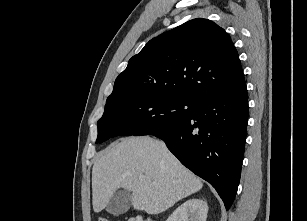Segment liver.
<instances>
[{"label":"liver","instance_id":"obj_1","mask_svg":"<svg viewBox=\"0 0 307 221\" xmlns=\"http://www.w3.org/2000/svg\"><path fill=\"white\" fill-rule=\"evenodd\" d=\"M144 175V179L139 176ZM203 187L159 140L128 137L104 151L92 169L93 210L102 211L120 188L136 210L159 214Z\"/></svg>","mask_w":307,"mask_h":221}]
</instances>
